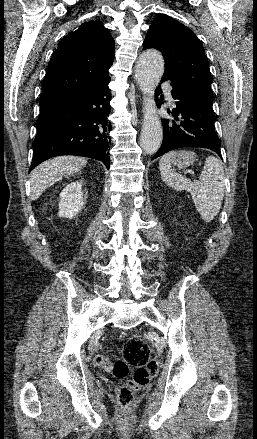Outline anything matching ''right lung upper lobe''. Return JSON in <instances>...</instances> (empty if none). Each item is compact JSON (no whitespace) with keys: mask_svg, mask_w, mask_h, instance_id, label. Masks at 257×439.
I'll use <instances>...</instances> for the list:
<instances>
[{"mask_svg":"<svg viewBox=\"0 0 257 439\" xmlns=\"http://www.w3.org/2000/svg\"><path fill=\"white\" fill-rule=\"evenodd\" d=\"M115 42L99 20L81 24L51 57L39 103L94 86L110 77Z\"/></svg>","mask_w":257,"mask_h":439,"instance_id":"obj_1","label":"right lung upper lobe"}]
</instances>
